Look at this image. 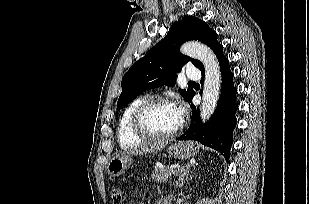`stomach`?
Returning a JSON list of instances; mask_svg holds the SVG:
<instances>
[{"instance_id":"1","label":"stomach","mask_w":309,"mask_h":204,"mask_svg":"<svg viewBox=\"0 0 309 204\" xmlns=\"http://www.w3.org/2000/svg\"><path fill=\"white\" fill-rule=\"evenodd\" d=\"M167 151L170 157L184 160L195 156L199 151V146L192 141L179 142L169 145ZM132 164V155H118L109 161L107 171L111 176H120L124 174Z\"/></svg>"}]
</instances>
